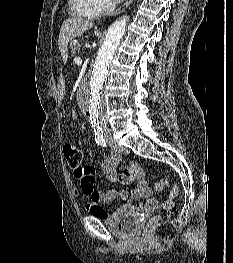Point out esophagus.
<instances>
[{
	"label": "esophagus",
	"mask_w": 233,
	"mask_h": 263,
	"mask_svg": "<svg viewBox=\"0 0 233 263\" xmlns=\"http://www.w3.org/2000/svg\"><path fill=\"white\" fill-rule=\"evenodd\" d=\"M134 0H127L121 7H119L116 11H114L111 16H116L120 14L121 12L125 11L132 3Z\"/></svg>",
	"instance_id": "34e87169"
}]
</instances>
